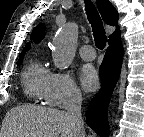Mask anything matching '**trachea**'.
Returning a JSON list of instances; mask_svg holds the SVG:
<instances>
[{
	"mask_svg": "<svg viewBox=\"0 0 144 137\" xmlns=\"http://www.w3.org/2000/svg\"><path fill=\"white\" fill-rule=\"evenodd\" d=\"M85 9L88 20L92 26L95 45L98 49L102 50L105 47L107 41L102 20L94 4L90 0L85 2Z\"/></svg>",
	"mask_w": 144,
	"mask_h": 137,
	"instance_id": "obj_1",
	"label": "trachea"
}]
</instances>
